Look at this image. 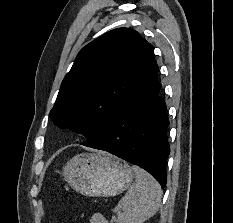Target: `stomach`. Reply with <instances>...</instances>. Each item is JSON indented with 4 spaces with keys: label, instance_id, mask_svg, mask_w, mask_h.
I'll return each mask as SVG.
<instances>
[{
    "label": "stomach",
    "instance_id": "obj_1",
    "mask_svg": "<svg viewBox=\"0 0 233 223\" xmlns=\"http://www.w3.org/2000/svg\"><path fill=\"white\" fill-rule=\"evenodd\" d=\"M62 175L83 195L111 197L128 189L134 179L133 169L110 153H78L67 161Z\"/></svg>",
    "mask_w": 233,
    "mask_h": 223
}]
</instances>
